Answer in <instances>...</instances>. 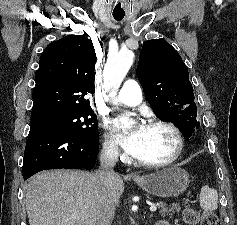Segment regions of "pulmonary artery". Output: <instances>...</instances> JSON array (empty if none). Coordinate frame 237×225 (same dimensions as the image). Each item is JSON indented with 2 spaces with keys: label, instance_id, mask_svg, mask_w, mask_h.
Masks as SVG:
<instances>
[{
  "label": "pulmonary artery",
  "instance_id": "obj_1",
  "mask_svg": "<svg viewBox=\"0 0 237 225\" xmlns=\"http://www.w3.org/2000/svg\"><path fill=\"white\" fill-rule=\"evenodd\" d=\"M142 101V90L140 85L132 79L125 81L118 93L115 102L127 106H136Z\"/></svg>",
  "mask_w": 237,
  "mask_h": 225
}]
</instances>
